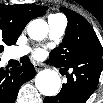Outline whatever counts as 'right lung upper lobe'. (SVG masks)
<instances>
[{
	"instance_id": "obj_1",
	"label": "right lung upper lobe",
	"mask_w": 103,
	"mask_h": 103,
	"mask_svg": "<svg viewBox=\"0 0 103 103\" xmlns=\"http://www.w3.org/2000/svg\"><path fill=\"white\" fill-rule=\"evenodd\" d=\"M46 9L34 4H0V47L15 44L27 23L44 14Z\"/></svg>"
}]
</instances>
